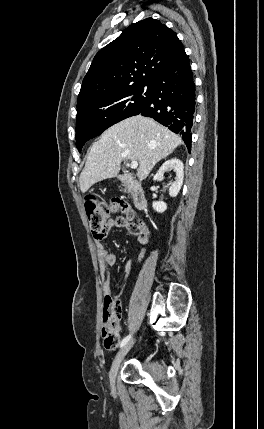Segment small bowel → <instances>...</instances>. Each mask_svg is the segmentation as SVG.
Returning a JSON list of instances; mask_svg holds the SVG:
<instances>
[{"instance_id": "c3829d8e", "label": "small bowel", "mask_w": 264, "mask_h": 429, "mask_svg": "<svg viewBox=\"0 0 264 429\" xmlns=\"http://www.w3.org/2000/svg\"><path fill=\"white\" fill-rule=\"evenodd\" d=\"M112 228H126L129 233L135 235L138 242L141 245V251L138 256L137 265L144 259L146 255V245L150 239V232L145 224L139 223L134 224L129 222L123 217L112 218L109 220L104 235L101 238H95L98 255V265L100 274L103 279V295L104 299L111 296V285H110V269L116 262V255L106 249L103 244V239ZM125 269V282L129 279L133 273L134 267L130 263H126ZM125 286V283H124Z\"/></svg>"}]
</instances>
